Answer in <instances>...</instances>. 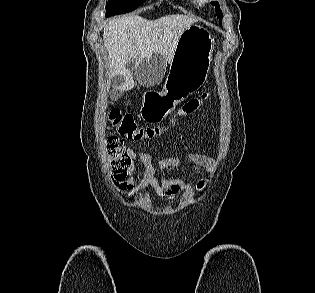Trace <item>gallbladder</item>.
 <instances>
[{
  "instance_id": "obj_1",
  "label": "gallbladder",
  "mask_w": 315,
  "mask_h": 293,
  "mask_svg": "<svg viewBox=\"0 0 315 293\" xmlns=\"http://www.w3.org/2000/svg\"><path fill=\"white\" fill-rule=\"evenodd\" d=\"M123 76L121 75H118L116 77H114L113 79V83L115 84V86L119 85V84H122L123 83Z\"/></svg>"
}]
</instances>
